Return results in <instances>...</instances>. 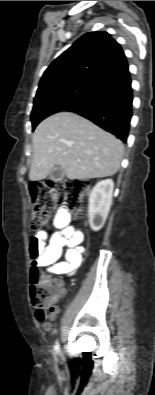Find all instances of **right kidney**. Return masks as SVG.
Listing matches in <instances>:
<instances>
[{
    "label": "right kidney",
    "mask_w": 155,
    "mask_h": 395,
    "mask_svg": "<svg viewBox=\"0 0 155 395\" xmlns=\"http://www.w3.org/2000/svg\"><path fill=\"white\" fill-rule=\"evenodd\" d=\"M113 189V180L106 179L98 182L90 194L88 217L93 231H99L107 219L112 204Z\"/></svg>",
    "instance_id": "right-kidney-1"
}]
</instances>
